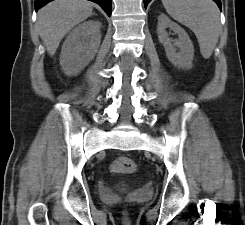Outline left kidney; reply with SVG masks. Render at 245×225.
<instances>
[{"mask_svg": "<svg viewBox=\"0 0 245 225\" xmlns=\"http://www.w3.org/2000/svg\"><path fill=\"white\" fill-rule=\"evenodd\" d=\"M166 28H170L178 34V39H170L166 32ZM157 33L159 42L165 48L168 60L178 68H192L194 46L185 30L177 23L171 21L165 14L161 13L158 16ZM176 47L179 48V52H176Z\"/></svg>", "mask_w": 245, "mask_h": 225, "instance_id": "1", "label": "left kidney"}]
</instances>
